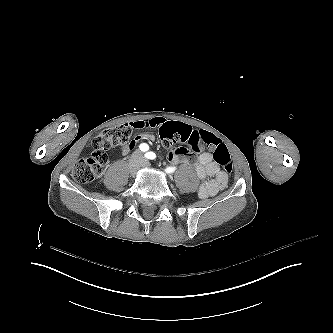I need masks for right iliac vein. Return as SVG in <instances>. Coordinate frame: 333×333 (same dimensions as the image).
I'll return each instance as SVG.
<instances>
[{
    "instance_id": "1",
    "label": "right iliac vein",
    "mask_w": 333,
    "mask_h": 333,
    "mask_svg": "<svg viewBox=\"0 0 333 333\" xmlns=\"http://www.w3.org/2000/svg\"><path fill=\"white\" fill-rule=\"evenodd\" d=\"M138 153L136 152L135 155H137ZM139 155H140V152H139ZM142 156L139 157V159H141ZM130 169H131V174L135 175L138 170H139V167L140 165L139 164H130L129 165Z\"/></svg>"
}]
</instances>
